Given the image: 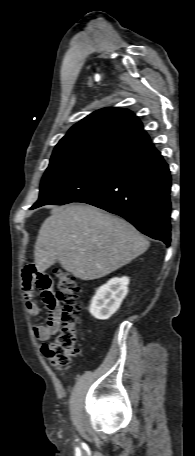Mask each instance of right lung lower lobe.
Masks as SVG:
<instances>
[{"instance_id":"1","label":"right lung lower lobe","mask_w":195,"mask_h":456,"mask_svg":"<svg viewBox=\"0 0 195 456\" xmlns=\"http://www.w3.org/2000/svg\"><path fill=\"white\" fill-rule=\"evenodd\" d=\"M171 176L159 151L121 169L107 183L75 202L117 214L145 235L171 240Z\"/></svg>"}]
</instances>
